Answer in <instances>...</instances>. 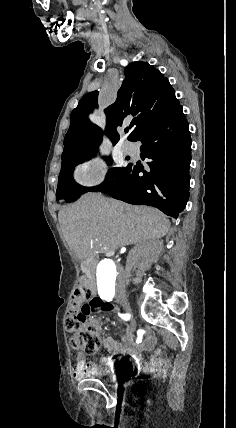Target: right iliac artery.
I'll list each match as a JSON object with an SVG mask.
<instances>
[{
	"instance_id": "obj_1",
	"label": "right iliac artery",
	"mask_w": 236,
	"mask_h": 428,
	"mask_svg": "<svg viewBox=\"0 0 236 428\" xmlns=\"http://www.w3.org/2000/svg\"><path fill=\"white\" fill-rule=\"evenodd\" d=\"M119 316H120L122 319H124V320H127V319H128L126 314H119Z\"/></svg>"
}]
</instances>
